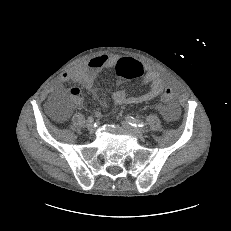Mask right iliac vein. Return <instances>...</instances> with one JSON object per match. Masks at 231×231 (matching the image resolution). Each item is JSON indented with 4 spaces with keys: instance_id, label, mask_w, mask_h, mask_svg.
<instances>
[{
    "instance_id": "63e3f726",
    "label": "right iliac vein",
    "mask_w": 231,
    "mask_h": 231,
    "mask_svg": "<svg viewBox=\"0 0 231 231\" xmlns=\"http://www.w3.org/2000/svg\"><path fill=\"white\" fill-rule=\"evenodd\" d=\"M86 128L90 131L93 132L94 131V124L92 122H88L86 124Z\"/></svg>"
}]
</instances>
